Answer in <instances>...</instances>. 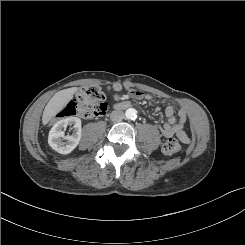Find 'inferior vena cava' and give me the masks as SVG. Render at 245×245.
<instances>
[{"label": "inferior vena cava", "mask_w": 245, "mask_h": 245, "mask_svg": "<svg viewBox=\"0 0 245 245\" xmlns=\"http://www.w3.org/2000/svg\"><path fill=\"white\" fill-rule=\"evenodd\" d=\"M125 118V115L122 111L120 110H116V111H113L111 114H110V119L111 121L113 122H119L121 120H123Z\"/></svg>", "instance_id": "obj_1"}]
</instances>
